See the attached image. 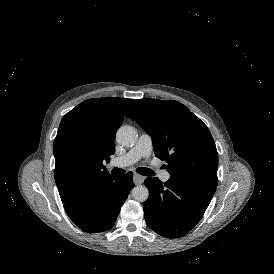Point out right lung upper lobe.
Segmentation results:
<instances>
[{
    "instance_id": "cb5924a9",
    "label": "right lung upper lobe",
    "mask_w": 274,
    "mask_h": 274,
    "mask_svg": "<svg viewBox=\"0 0 274 274\" xmlns=\"http://www.w3.org/2000/svg\"><path fill=\"white\" fill-rule=\"evenodd\" d=\"M133 99H89L62 119L53 144L55 181L63 204L112 176L103 161L114 154L115 134Z\"/></svg>"
}]
</instances>
